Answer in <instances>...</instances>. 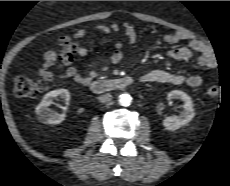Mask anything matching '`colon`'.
I'll use <instances>...</instances> for the list:
<instances>
[{
  "label": "colon",
  "instance_id": "colon-1",
  "mask_svg": "<svg viewBox=\"0 0 230 186\" xmlns=\"http://www.w3.org/2000/svg\"><path fill=\"white\" fill-rule=\"evenodd\" d=\"M78 44L71 37H62L59 41V55L63 61L69 60L72 54L77 50ZM50 80V74L46 73L41 79H33L25 75H19L14 80L13 92L15 97L24 99L31 98L45 90L47 82ZM220 88L216 83H210L206 88V94L209 97H215L219 94Z\"/></svg>",
  "mask_w": 230,
  "mask_h": 186
}]
</instances>
